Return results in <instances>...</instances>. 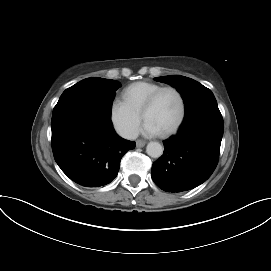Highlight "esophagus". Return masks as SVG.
<instances>
[{
    "label": "esophagus",
    "mask_w": 271,
    "mask_h": 271,
    "mask_svg": "<svg viewBox=\"0 0 271 271\" xmlns=\"http://www.w3.org/2000/svg\"><path fill=\"white\" fill-rule=\"evenodd\" d=\"M145 145H146V141H144V140H137L136 141V147L141 148V147H144Z\"/></svg>",
    "instance_id": "34e87169"
}]
</instances>
